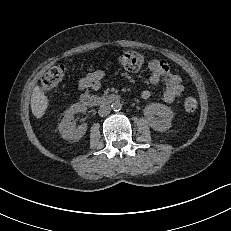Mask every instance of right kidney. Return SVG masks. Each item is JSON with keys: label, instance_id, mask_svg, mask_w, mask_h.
<instances>
[{"label": "right kidney", "instance_id": "ca27d5eb", "mask_svg": "<svg viewBox=\"0 0 231 231\" xmlns=\"http://www.w3.org/2000/svg\"><path fill=\"white\" fill-rule=\"evenodd\" d=\"M86 110L87 107L84 104L75 103L65 111L64 118L59 124V132L63 139L68 141H77L84 136L87 130V124L83 123L76 127L72 120L74 119L75 114L84 113Z\"/></svg>", "mask_w": 231, "mask_h": 231}]
</instances>
